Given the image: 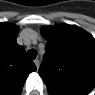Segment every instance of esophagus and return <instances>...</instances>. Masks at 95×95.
Masks as SVG:
<instances>
[{
	"mask_svg": "<svg viewBox=\"0 0 95 95\" xmlns=\"http://www.w3.org/2000/svg\"><path fill=\"white\" fill-rule=\"evenodd\" d=\"M34 63H35V65H36L37 69H38V68H39V65H40L39 60H38V59H35V60H34Z\"/></svg>",
	"mask_w": 95,
	"mask_h": 95,
	"instance_id": "esophagus-1",
	"label": "esophagus"
}]
</instances>
